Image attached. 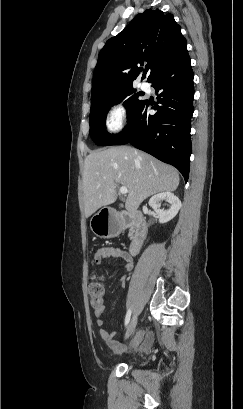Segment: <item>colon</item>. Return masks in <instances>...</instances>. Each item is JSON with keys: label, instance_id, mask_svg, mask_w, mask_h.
Returning a JSON list of instances; mask_svg holds the SVG:
<instances>
[{"label": "colon", "instance_id": "5ec220e1", "mask_svg": "<svg viewBox=\"0 0 243 409\" xmlns=\"http://www.w3.org/2000/svg\"><path fill=\"white\" fill-rule=\"evenodd\" d=\"M89 293L91 295V301L95 309H98L102 306V297H103V286L102 283L97 280L93 281L88 286Z\"/></svg>", "mask_w": 243, "mask_h": 409}]
</instances>
